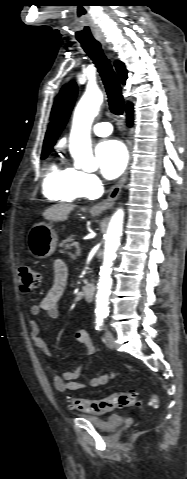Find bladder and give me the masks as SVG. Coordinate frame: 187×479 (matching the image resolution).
I'll return each mask as SVG.
<instances>
[{
  "instance_id": "obj_1",
  "label": "bladder",
  "mask_w": 187,
  "mask_h": 479,
  "mask_svg": "<svg viewBox=\"0 0 187 479\" xmlns=\"http://www.w3.org/2000/svg\"><path fill=\"white\" fill-rule=\"evenodd\" d=\"M79 416L83 419L88 420L95 427H97L99 430L104 431V432H111L117 426V423L114 421V419L112 417L98 418L96 416L89 415V414H80Z\"/></svg>"
}]
</instances>
